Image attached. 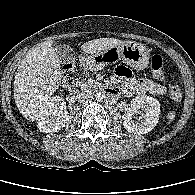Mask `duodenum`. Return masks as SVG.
<instances>
[{
	"label": "duodenum",
	"instance_id": "duodenum-1",
	"mask_svg": "<svg viewBox=\"0 0 195 195\" xmlns=\"http://www.w3.org/2000/svg\"><path fill=\"white\" fill-rule=\"evenodd\" d=\"M84 86L82 83H76V84H73L71 87H70V90L73 94H80L84 91ZM106 91L109 93V94H115L116 91L113 87H107L106 88Z\"/></svg>",
	"mask_w": 195,
	"mask_h": 195
}]
</instances>
